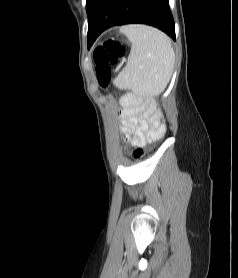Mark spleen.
<instances>
[{"label": "spleen", "instance_id": "spleen-1", "mask_svg": "<svg viewBox=\"0 0 238 278\" xmlns=\"http://www.w3.org/2000/svg\"><path fill=\"white\" fill-rule=\"evenodd\" d=\"M120 32L132 43L128 61L115 78L119 89L146 94L161 93L170 81L175 54L169 37L146 25H126Z\"/></svg>", "mask_w": 238, "mask_h": 278}]
</instances>
